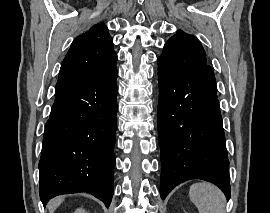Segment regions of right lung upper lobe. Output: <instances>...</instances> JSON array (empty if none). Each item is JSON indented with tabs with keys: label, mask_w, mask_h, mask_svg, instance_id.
Here are the masks:
<instances>
[{
	"label": "right lung upper lobe",
	"mask_w": 270,
	"mask_h": 213,
	"mask_svg": "<svg viewBox=\"0 0 270 213\" xmlns=\"http://www.w3.org/2000/svg\"><path fill=\"white\" fill-rule=\"evenodd\" d=\"M113 39L102 23L79 35L63 60L55 91L90 84L116 72Z\"/></svg>",
	"instance_id": "obj_1"
}]
</instances>
